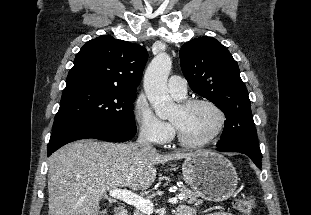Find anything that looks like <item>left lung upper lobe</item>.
Segmentation results:
<instances>
[{
    "instance_id": "left-lung-upper-lobe-1",
    "label": "left lung upper lobe",
    "mask_w": 311,
    "mask_h": 215,
    "mask_svg": "<svg viewBox=\"0 0 311 215\" xmlns=\"http://www.w3.org/2000/svg\"><path fill=\"white\" fill-rule=\"evenodd\" d=\"M180 64L191 89L225 114L227 120L217 145H258L248 92L228 49L215 38H195L181 47Z\"/></svg>"
}]
</instances>
